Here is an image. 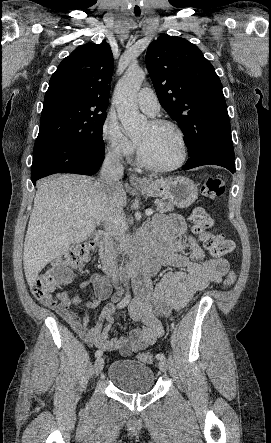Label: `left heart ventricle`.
Returning a JSON list of instances; mask_svg holds the SVG:
<instances>
[{
  "label": "left heart ventricle",
  "instance_id": "b2bd125f",
  "mask_svg": "<svg viewBox=\"0 0 271 443\" xmlns=\"http://www.w3.org/2000/svg\"><path fill=\"white\" fill-rule=\"evenodd\" d=\"M134 139L145 157L156 165H171L181 157L180 138L168 126L153 127L146 123Z\"/></svg>",
  "mask_w": 271,
  "mask_h": 443
}]
</instances>
